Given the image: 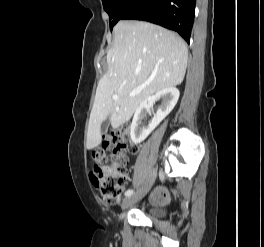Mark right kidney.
Instances as JSON below:
<instances>
[{
    "label": "right kidney",
    "mask_w": 264,
    "mask_h": 247,
    "mask_svg": "<svg viewBox=\"0 0 264 247\" xmlns=\"http://www.w3.org/2000/svg\"><path fill=\"white\" fill-rule=\"evenodd\" d=\"M179 90L175 87H167L157 92L154 96L144 100L136 109L132 124L130 127V136L134 143L138 144L144 141L148 135L160 124V122L173 110L178 99ZM161 99L162 104L158 108L156 115L148 126H142V120L146 113L150 112L153 102Z\"/></svg>",
    "instance_id": "ca27d5eb"
}]
</instances>
